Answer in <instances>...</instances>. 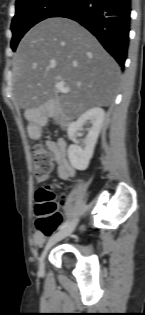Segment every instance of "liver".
<instances>
[{
	"label": "liver",
	"mask_w": 145,
	"mask_h": 315,
	"mask_svg": "<svg viewBox=\"0 0 145 315\" xmlns=\"http://www.w3.org/2000/svg\"><path fill=\"white\" fill-rule=\"evenodd\" d=\"M120 67L98 40L77 22L48 18L31 28L13 59L12 99L25 117L50 108L68 123L114 98ZM69 92L56 97L55 84Z\"/></svg>",
	"instance_id": "6515ba94"
}]
</instances>
